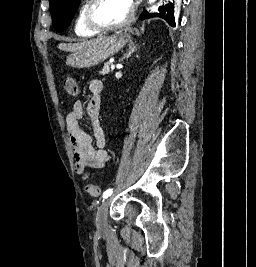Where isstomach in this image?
Here are the masks:
<instances>
[{
	"mask_svg": "<svg viewBox=\"0 0 256 267\" xmlns=\"http://www.w3.org/2000/svg\"><path fill=\"white\" fill-rule=\"evenodd\" d=\"M131 36L126 30H119L111 36H104L99 44H89L82 52L70 54L67 58V64L73 68H91L100 62H104L110 56L117 54L123 46L129 42Z\"/></svg>",
	"mask_w": 256,
	"mask_h": 267,
	"instance_id": "0dacf381",
	"label": "stomach"
}]
</instances>
